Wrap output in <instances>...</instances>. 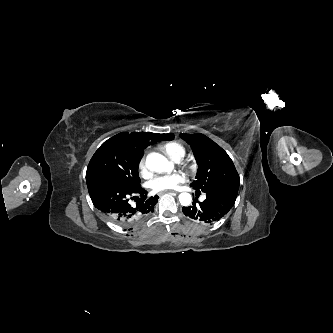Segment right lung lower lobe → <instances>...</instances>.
Here are the masks:
<instances>
[{"instance_id": "right-lung-lower-lobe-1", "label": "right lung lower lobe", "mask_w": 333, "mask_h": 333, "mask_svg": "<svg viewBox=\"0 0 333 333\" xmlns=\"http://www.w3.org/2000/svg\"><path fill=\"white\" fill-rule=\"evenodd\" d=\"M86 181L94 206L121 227H132L148 217L159 198L157 195L148 198L141 185L130 186L106 176L95 175ZM130 199H135L136 204Z\"/></svg>"}]
</instances>
